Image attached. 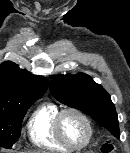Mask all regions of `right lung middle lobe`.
<instances>
[{
	"instance_id": "1",
	"label": "right lung middle lobe",
	"mask_w": 130,
	"mask_h": 153,
	"mask_svg": "<svg viewBox=\"0 0 130 153\" xmlns=\"http://www.w3.org/2000/svg\"><path fill=\"white\" fill-rule=\"evenodd\" d=\"M33 102L20 107H0V147L11 149L21 133V122Z\"/></svg>"
}]
</instances>
